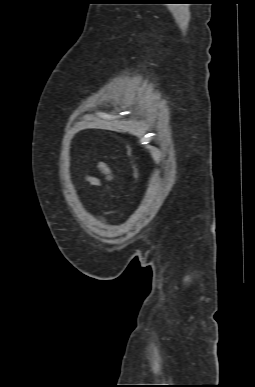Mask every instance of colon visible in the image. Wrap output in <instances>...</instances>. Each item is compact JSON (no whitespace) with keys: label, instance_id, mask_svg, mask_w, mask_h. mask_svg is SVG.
Returning a JSON list of instances; mask_svg holds the SVG:
<instances>
[{"label":"colon","instance_id":"obj_1","mask_svg":"<svg viewBox=\"0 0 255 387\" xmlns=\"http://www.w3.org/2000/svg\"><path fill=\"white\" fill-rule=\"evenodd\" d=\"M127 155H128L129 158H130V168H131L132 177H133L134 179H136V178L138 177V171H137L136 163H135V161L132 159V149H131V147H128V149H127Z\"/></svg>","mask_w":255,"mask_h":387}]
</instances>
